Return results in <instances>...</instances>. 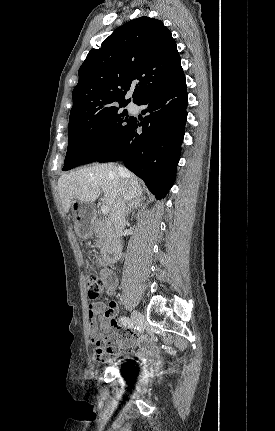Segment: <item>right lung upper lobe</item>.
I'll return each mask as SVG.
<instances>
[{
	"mask_svg": "<svg viewBox=\"0 0 275 431\" xmlns=\"http://www.w3.org/2000/svg\"><path fill=\"white\" fill-rule=\"evenodd\" d=\"M175 40L162 21L146 16L117 28L79 69L69 122L106 108L128 104L165 85L181 70ZM139 81L137 84L136 82Z\"/></svg>",
	"mask_w": 275,
	"mask_h": 431,
	"instance_id": "right-lung-upper-lobe-1",
	"label": "right lung upper lobe"
}]
</instances>
